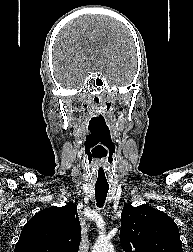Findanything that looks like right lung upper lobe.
<instances>
[{
    "instance_id": "obj_1",
    "label": "right lung upper lobe",
    "mask_w": 193,
    "mask_h": 252,
    "mask_svg": "<svg viewBox=\"0 0 193 252\" xmlns=\"http://www.w3.org/2000/svg\"><path fill=\"white\" fill-rule=\"evenodd\" d=\"M80 240L76 205L53 206L25 224L14 252H78Z\"/></svg>"
}]
</instances>
